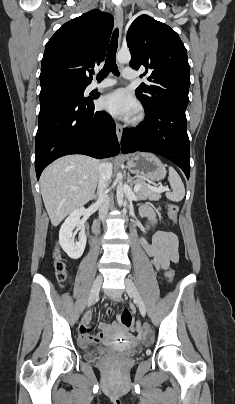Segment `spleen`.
Returning <instances> with one entry per match:
<instances>
[{"label": "spleen", "mask_w": 235, "mask_h": 404, "mask_svg": "<svg viewBox=\"0 0 235 404\" xmlns=\"http://www.w3.org/2000/svg\"><path fill=\"white\" fill-rule=\"evenodd\" d=\"M168 181L173 191L166 193V197L171 201L180 202L185 196V188L180 176L172 167H169Z\"/></svg>", "instance_id": "spleen-1"}]
</instances>
